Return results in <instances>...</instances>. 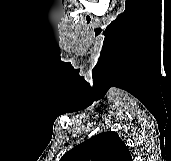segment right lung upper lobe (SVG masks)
<instances>
[{
  "instance_id": "obj_1",
  "label": "right lung upper lobe",
  "mask_w": 171,
  "mask_h": 161,
  "mask_svg": "<svg viewBox=\"0 0 171 161\" xmlns=\"http://www.w3.org/2000/svg\"><path fill=\"white\" fill-rule=\"evenodd\" d=\"M132 155L119 135L102 132L68 151L60 161H132Z\"/></svg>"
}]
</instances>
